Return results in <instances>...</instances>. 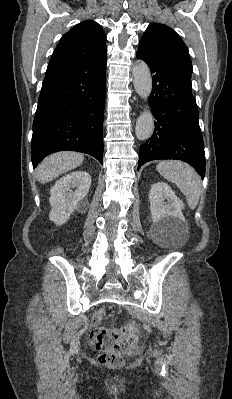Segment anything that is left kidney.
I'll list each match as a JSON object with an SVG mask.
<instances>
[{"label":"left kidney","instance_id":"5707ae66","mask_svg":"<svg viewBox=\"0 0 232 399\" xmlns=\"http://www.w3.org/2000/svg\"><path fill=\"white\" fill-rule=\"evenodd\" d=\"M149 201L153 221L149 233L154 241L175 243L188 237V225L182 213L184 203L175 196L168 184H153Z\"/></svg>","mask_w":232,"mask_h":399}]
</instances>
